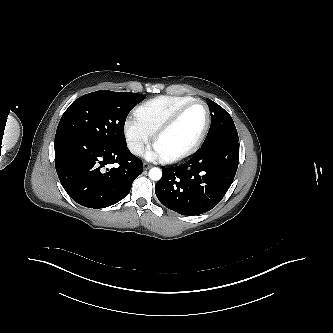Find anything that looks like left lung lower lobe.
Masks as SVG:
<instances>
[{"mask_svg": "<svg viewBox=\"0 0 333 333\" xmlns=\"http://www.w3.org/2000/svg\"><path fill=\"white\" fill-rule=\"evenodd\" d=\"M239 163L238 140L214 141L201 147L186 163L163 168L155 185L159 201L182 215H200L224 197Z\"/></svg>", "mask_w": 333, "mask_h": 333, "instance_id": "0a47b994", "label": "left lung lower lobe"}]
</instances>
